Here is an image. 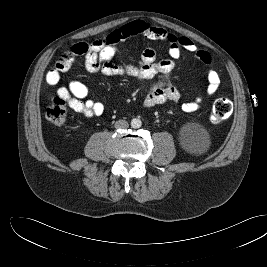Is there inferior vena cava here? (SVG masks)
<instances>
[{
  "label": "inferior vena cava",
  "instance_id": "obj_1",
  "mask_svg": "<svg viewBox=\"0 0 267 267\" xmlns=\"http://www.w3.org/2000/svg\"><path fill=\"white\" fill-rule=\"evenodd\" d=\"M115 128L117 129H127L129 127V124L125 120H118L115 122Z\"/></svg>",
  "mask_w": 267,
  "mask_h": 267
}]
</instances>
